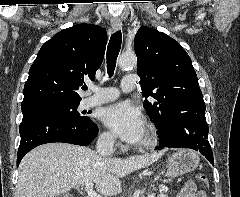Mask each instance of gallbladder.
I'll use <instances>...</instances> for the list:
<instances>
[{"label": "gallbladder", "instance_id": "obj_1", "mask_svg": "<svg viewBox=\"0 0 240 197\" xmlns=\"http://www.w3.org/2000/svg\"><path fill=\"white\" fill-rule=\"evenodd\" d=\"M58 197H73V196L68 193H63V194H60Z\"/></svg>", "mask_w": 240, "mask_h": 197}]
</instances>
